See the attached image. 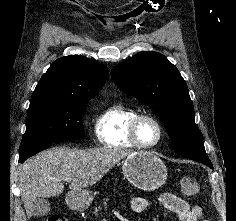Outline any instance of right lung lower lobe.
<instances>
[{
	"mask_svg": "<svg viewBox=\"0 0 236 221\" xmlns=\"http://www.w3.org/2000/svg\"><path fill=\"white\" fill-rule=\"evenodd\" d=\"M49 147V144L48 145H41V146H37V147H33V148H30V149H27L23 152H20L19 154V162L20 163H23L26 159H28L29 157L35 155L36 153L46 149Z\"/></svg>",
	"mask_w": 236,
	"mask_h": 221,
	"instance_id": "98d812e1",
	"label": "right lung lower lobe"
}]
</instances>
